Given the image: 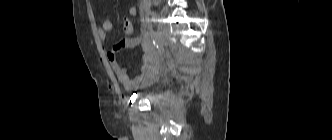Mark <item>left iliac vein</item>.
I'll use <instances>...</instances> for the list:
<instances>
[{
	"instance_id": "1",
	"label": "left iliac vein",
	"mask_w": 332,
	"mask_h": 140,
	"mask_svg": "<svg viewBox=\"0 0 332 140\" xmlns=\"http://www.w3.org/2000/svg\"><path fill=\"white\" fill-rule=\"evenodd\" d=\"M154 40L155 42L162 47L163 46V34L161 31H156L154 34Z\"/></svg>"
}]
</instances>
